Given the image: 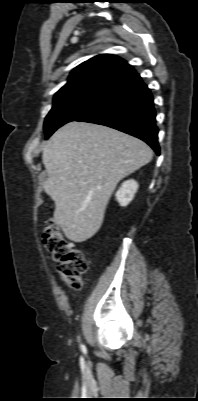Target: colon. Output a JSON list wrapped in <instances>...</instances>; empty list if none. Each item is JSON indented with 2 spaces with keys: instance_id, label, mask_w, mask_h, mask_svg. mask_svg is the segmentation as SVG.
<instances>
[{
  "instance_id": "obj_1",
  "label": "colon",
  "mask_w": 198,
  "mask_h": 401,
  "mask_svg": "<svg viewBox=\"0 0 198 401\" xmlns=\"http://www.w3.org/2000/svg\"><path fill=\"white\" fill-rule=\"evenodd\" d=\"M43 244L52 259L59 263V272L66 283L75 290L81 287V276L86 273L88 264L84 253L75 248L61 233L54 219L44 224Z\"/></svg>"
}]
</instances>
